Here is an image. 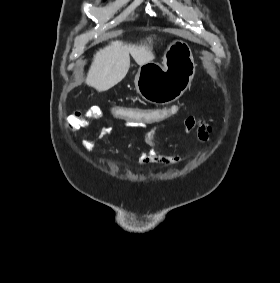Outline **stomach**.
Returning <instances> with one entry per match:
<instances>
[{"mask_svg":"<svg viewBox=\"0 0 280 283\" xmlns=\"http://www.w3.org/2000/svg\"><path fill=\"white\" fill-rule=\"evenodd\" d=\"M195 67L188 43L173 40L164 51L162 64L148 62L139 67L134 80L136 90L150 103H172L191 85Z\"/></svg>","mask_w":280,"mask_h":283,"instance_id":"stomach-1","label":"stomach"}]
</instances>
